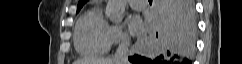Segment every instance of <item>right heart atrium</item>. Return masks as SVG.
I'll return each mask as SVG.
<instances>
[{
    "label": "right heart atrium",
    "mask_w": 242,
    "mask_h": 64,
    "mask_svg": "<svg viewBox=\"0 0 242 64\" xmlns=\"http://www.w3.org/2000/svg\"><path fill=\"white\" fill-rule=\"evenodd\" d=\"M110 45H119L128 42V37L122 25H111L108 31Z\"/></svg>",
    "instance_id": "right-heart-atrium-1"
}]
</instances>
